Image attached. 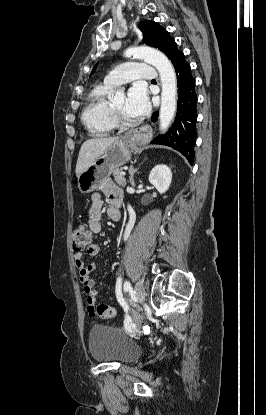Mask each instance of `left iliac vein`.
<instances>
[{"label":"left iliac vein","mask_w":266,"mask_h":415,"mask_svg":"<svg viewBox=\"0 0 266 415\" xmlns=\"http://www.w3.org/2000/svg\"><path fill=\"white\" fill-rule=\"evenodd\" d=\"M134 290H135V295H136L138 302L142 303L146 297V292H145L143 285L140 282L136 283Z\"/></svg>","instance_id":"obj_1"}]
</instances>
